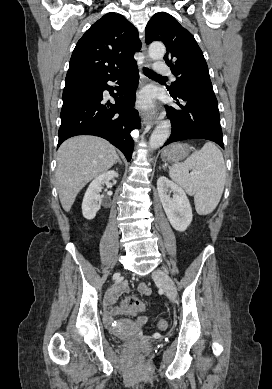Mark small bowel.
Segmentation results:
<instances>
[{"label": "small bowel", "instance_id": "small-bowel-1", "mask_svg": "<svg viewBox=\"0 0 272 389\" xmlns=\"http://www.w3.org/2000/svg\"><path fill=\"white\" fill-rule=\"evenodd\" d=\"M128 290H129V288L126 285L120 286L117 289H115L113 291V293L108 297V299L106 300L105 306H106L107 310L110 313H119V312H121V309L113 308L112 305H113L115 299L119 295H121L124 292H127ZM138 290H139L140 293H142L144 295H148L150 293V290H149L148 286L146 284H144V283H142V284H140L138 286ZM146 321H147L146 317H141V318L138 319V323H140V324H143Z\"/></svg>", "mask_w": 272, "mask_h": 389}]
</instances>
